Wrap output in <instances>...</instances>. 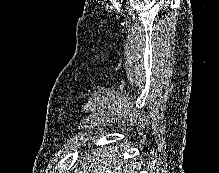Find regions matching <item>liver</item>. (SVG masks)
Listing matches in <instances>:
<instances>
[{
    "mask_svg": "<svg viewBox=\"0 0 219 173\" xmlns=\"http://www.w3.org/2000/svg\"><path fill=\"white\" fill-rule=\"evenodd\" d=\"M91 152V154H90ZM79 173H136L127 161H122L112 148L99 147L86 151Z\"/></svg>",
    "mask_w": 219,
    "mask_h": 173,
    "instance_id": "obj_1",
    "label": "liver"
}]
</instances>
